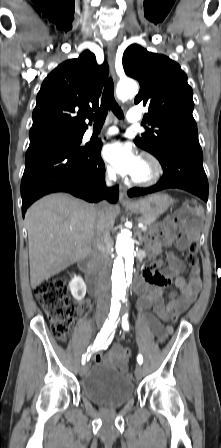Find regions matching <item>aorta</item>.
<instances>
[{
    "label": "aorta",
    "mask_w": 221,
    "mask_h": 448,
    "mask_svg": "<svg viewBox=\"0 0 221 448\" xmlns=\"http://www.w3.org/2000/svg\"><path fill=\"white\" fill-rule=\"evenodd\" d=\"M137 90L138 85L135 81L126 80L118 84L117 96L121 100H127L133 97ZM115 248L117 257L112 270V311L117 315L133 273L135 244L132 233L128 230L121 231L117 235Z\"/></svg>",
    "instance_id": "aorta-1"
}]
</instances>
